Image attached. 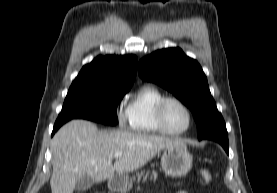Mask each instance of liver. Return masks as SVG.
<instances>
[{
    "label": "liver",
    "mask_w": 277,
    "mask_h": 193,
    "mask_svg": "<svg viewBox=\"0 0 277 193\" xmlns=\"http://www.w3.org/2000/svg\"><path fill=\"white\" fill-rule=\"evenodd\" d=\"M185 145L178 138H167L126 131H99L86 120H73L55 134L52 141V193H73L79 179L90 177L101 182L144 166L158 152ZM120 152L122 157L114 154Z\"/></svg>",
    "instance_id": "1"
}]
</instances>
